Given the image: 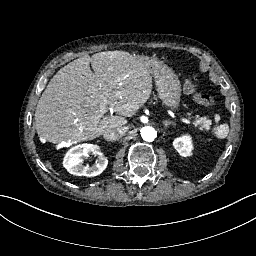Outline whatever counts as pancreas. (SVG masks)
I'll return each mask as SVG.
<instances>
[{
    "label": "pancreas",
    "mask_w": 256,
    "mask_h": 256,
    "mask_svg": "<svg viewBox=\"0 0 256 256\" xmlns=\"http://www.w3.org/2000/svg\"><path fill=\"white\" fill-rule=\"evenodd\" d=\"M211 123V120L207 119V117H197L194 124L200 125V129H208Z\"/></svg>",
    "instance_id": "pancreas-1"
}]
</instances>
